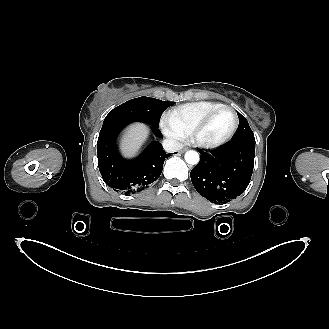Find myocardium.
Returning <instances> with one entry per match:
<instances>
[{"label": "myocardium", "instance_id": "obj_1", "mask_svg": "<svg viewBox=\"0 0 329 329\" xmlns=\"http://www.w3.org/2000/svg\"><path fill=\"white\" fill-rule=\"evenodd\" d=\"M223 110H229L232 112L233 116H234V124L233 127L230 131V133L224 137L221 140H217V141H204L202 139L199 138V133L201 132V130L209 123V121L219 112L223 111ZM239 126V117L237 114V111L228 105H222L214 110H212L211 112H209L205 117H203L197 124H195V126L191 129L190 131V137L192 139V141L199 147L201 148H214V147H218L221 146L225 143H227L228 141H230L233 136L235 135L237 129Z\"/></svg>", "mask_w": 329, "mask_h": 329}]
</instances>
